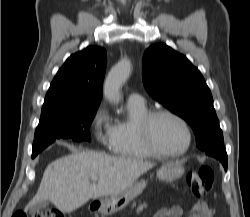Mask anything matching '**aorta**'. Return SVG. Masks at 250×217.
I'll return each mask as SVG.
<instances>
[{"label":"aorta","mask_w":250,"mask_h":217,"mask_svg":"<svg viewBox=\"0 0 250 217\" xmlns=\"http://www.w3.org/2000/svg\"><path fill=\"white\" fill-rule=\"evenodd\" d=\"M131 73V62L124 58L108 73L104 83V96L110 102H118L120 89Z\"/></svg>","instance_id":"762f6f07"}]
</instances>
